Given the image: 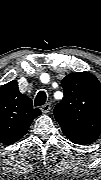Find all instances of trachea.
I'll use <instances>...</instances> for the list:
<instances>
[{
    "mask_svg": "<svg viewBox=\"0 0 101 180\" xmlns=\"http://www.w3.org/2000/svg\"><path fill=\"white\" fill-rule=\"evenodd\" d=\"M46 93L44 91H39L35 98V106H42L46 102Z\"/></svg>",
    "mask_w": 101,
    "mask_h": 180,
    "instance_id": "3493384b",
    "label": "trachea"
}]
</instances>
